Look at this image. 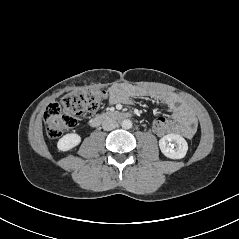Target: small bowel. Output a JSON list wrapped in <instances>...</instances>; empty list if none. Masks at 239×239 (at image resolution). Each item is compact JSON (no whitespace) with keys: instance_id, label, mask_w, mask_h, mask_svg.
<instances>
[{"instance_id":"c3829d8e","label":"small bowel","mask_w":239,"mask_h":239,"mask_svg":"<svg viewBox=\"0 0 239 239\" xmlns=\"http://www.w3.org/2000/svg\"><path fill=\"white\" fill-rule=\"evenodd\" d=\"M150 97L161 103L172 112V130L170 133L192 138L196 133L198 122L190 108L176 95L155 89H146L140 86L118 84L110 88L109 104H126L131 98Z\"/></svg>"}]
</instances>
